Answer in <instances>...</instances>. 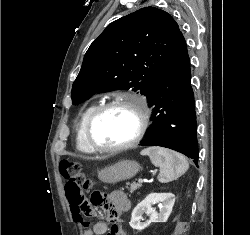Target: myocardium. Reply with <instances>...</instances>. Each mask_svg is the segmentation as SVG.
I'll return each instance as SVG.
<instances>
[{
    "label": "myocardium",
    "instance_id": "obj_1",
    "mask_svg": "<svg viewBox=\"0 0 250 235\" xmlns=\"http://www.w3.org/2000/svg\"><path fill=\"white\" fill-rule=\"evenodd\" d=\"M123 106L132 109L138 118V128L133 136V138L123 144L115 145V146H101L98 145L92 137V128L96 120L107 110L117 107ZM148 127V111L146 107V103L138 98L133 97H118L112 100H109L105 103H102L96 107V109L89 116L85 128H84V137L88 144V146L96 152L101 153H116L121 152L127 149H130L136 146L141 139L143 138Z\"/></svg>",
    "mask_w": 250,
    "mask_h": 235
}]
</instances>
